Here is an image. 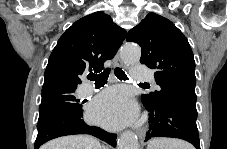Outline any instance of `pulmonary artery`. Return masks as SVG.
I'll list each match as a JSON object with an SVG mask.
<instances>
[{"instance_id": "e3ab8cb5", "label": "pulmonary artery", "mask_w": 227, "mask_h": 149, "mask_svg": "<svg viewBox=\"0 0 227 149\" xmlns=\"http://www.w3.org/2000/svg\"><path fill=\"white\" fill-rule=\"evenodd\" d=\"M132 71H133V79L135 81H138V82H150L155 87H157L155 82H154V80H153L152 71L149 68L144 67V66H133L132 67ZM91 92H92V87L88 86V87H86V89L84 90L83 93L85 95H88Z\"/></svg>"}]
</instances>
